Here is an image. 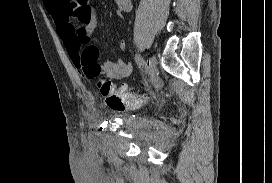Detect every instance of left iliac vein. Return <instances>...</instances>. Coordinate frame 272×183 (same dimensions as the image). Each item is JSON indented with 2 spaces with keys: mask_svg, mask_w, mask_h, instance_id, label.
I'll use <instances>...</instances> for the list:
<instances>
[{
  "mask_svg": "<svg viewBox=\"0 0 272 183\" xmlns=\"http://www.w3.org/2000/svg\"><path fill=\"white\" fill-rule=\"evenodd\" d=\"M148 66H147V71L149 72V74L151 75V78L154 79L157 75V59L155 57V55H152L149 58L148 61Z\"/></svg>",
  "mask_w": 272,
  "mask_h": 183,
  "instance_id": "obj_1",
  "label": "left iliac vein"
}]
</instances>
